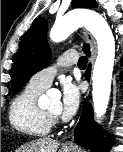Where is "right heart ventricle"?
I'll return each instance as SVG.
<instances>
[{
  "instance_id": "e07e8e85",
  "label": "right heart ventricle",
  "mask_w": 123,
  "mask_h": 152,
  "mask_svg": "<svg viewBox=\"0 0 123 152\" xmlns=\"http://www.w3.org/2000/svg\"><path fill=\"white\" fill-rule=\"evenodd\" d=\"M43 91L28 84L11 105V125L27 136L44 137L50 132L51 123L44 110L37 105V99Z\"/></svg>"
}]
</instances>
